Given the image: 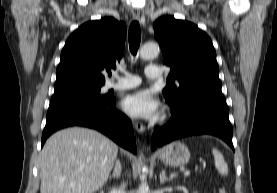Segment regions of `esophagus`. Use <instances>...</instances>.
I'll list each match as a JSON object with an SVG mask.
<instances>
[{
  "mask_svg": "<svg viewBox=\"0 0 277 193\" xmlns=\"http://www.w3.org/2000/svg\"><path fill=\"white\" fill-rule=\"evenodd\" d=\"M131 14L135 20L140 19V10L138 8H136V7L132 8ZM133 125L138 133H143L146 129L145 125H143L142 123H139V122H134Z\"/></svg>",
  "mask_w": 277,
  "mask_h": 193,
  "instance_id": "obj_1",
  "label": "esophagus"
}]
</instances>
